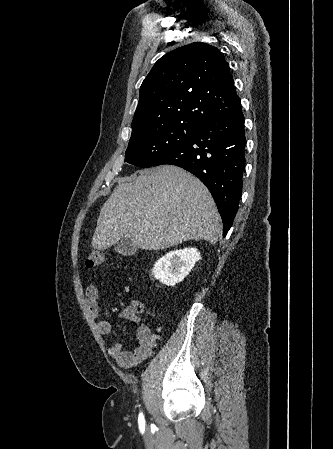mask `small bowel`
Segmentation results:
<instances>
[{
  "label": "small bowel",
  "instance_id": "1",
  "mask_svg": "<svg viewBox=\"0 0 333 449\" xmlns=\"http://www.w3.org/2000/svg\"><path fill=\"white\" fill-rule=\"evenodd\" d=\"M85 294L88 312L94 319L98 332L102 335L109 334L111 332V323L100 316L98 303L99 289L96 281L92 280L87 283ZM119 316L133 322L140 321V318L134 313L132 307L125 308ZM159 339V336L153 334L147 325L142 324L137 328V345L133 350H124L121 343L115 342L107 347V352L119 366L132 368L150 357Z\"/></svg>",
  "mask_w": 333,
  "mask_h": 449
}]
</instances>
